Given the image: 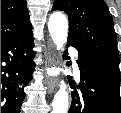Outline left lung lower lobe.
I'll return each mask as SVG.
<instances>
[{
    "mask_svg": "<svg viewBox=\"0 0 121 113\" xmlns=\"http://www.w3.org/2000/svg\"><path fill=\"white\" fill-rule=\"evenodd\" d=\"M68 45L79 51L77 63L81 74L80 91L74 88L68 113H121L120 80L84 56L73 43Z\"/></svg>",
    "mask_w": 121,
    "mask_h": 113,
    "instance_id": "1",
    "label": "left lung lower lobe"
}]
</instances>
